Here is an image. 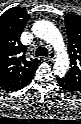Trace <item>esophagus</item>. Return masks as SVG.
<instances>
[{
  "label": "esophagus",
  "mask_w": 81,
  "mask_h": 124,
  "mask_svg": "<svg viewBox=\"0 0 81 124\" xmlns=\"http://www.w3.org/2000/svg\"><path fill=\"white\" fill-rule=\"evenodd\" d=\"M54 58H55V53H54L53 51H51V52L49 53L47 59H48L49 61H52Z\"/></svg>",
  "instance_id": "esophagus-1"
}]
</instances>
